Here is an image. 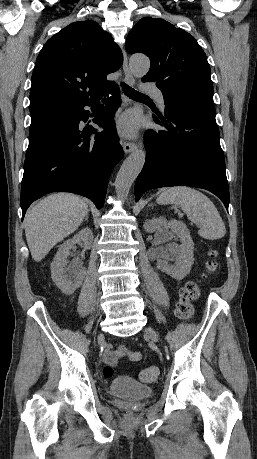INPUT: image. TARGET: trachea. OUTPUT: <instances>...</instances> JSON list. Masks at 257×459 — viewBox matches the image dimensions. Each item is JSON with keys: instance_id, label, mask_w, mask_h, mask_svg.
Here are the masks:
<instances>
[{"instance_id": "3493384b", "label": "trachea", "mask_w": 257, "mask_h": 459, "mask_svg": "<svg viewBox=\"0 0 257 459\" xmlns=\"http://www.w3.org/2000/svg\"><path fill=\"white\" fill-rule=\"evenodd\" d=\"M122 88H123L124 94L127 95L128 97L132 98V99L148 98V96H146L145 94H142V93L134 90L133 88H131L129 85H127L125 83H122Z\"/></svg>"}]
</instances>
